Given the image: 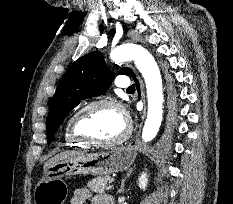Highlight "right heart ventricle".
I'll return each instance as SVG.
<instances>
[{
	"instance_id": "1",
	"label": "right heart ventricle",
	"mask_w": 233,
	"mask_h": 204,
	"mask_svg": "<svg viewBox=\"0 0 233 204\" xmlns=\"http://www.w3.org/2000/svg\"><path fill=\"white\" fill-rule=\"evenodd\" d=\"M69 123H70V120L67 122L66 127H65V131H64V141H65L66 145L69 147H85L86 144L82 143L79 140H76L71 135L70 130H69Z\"/></svg>"
}]
</instances>
